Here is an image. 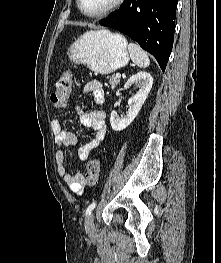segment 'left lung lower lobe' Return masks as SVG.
Masks as SVG:
<instances>
[{
    "mask_svg": "<svg viewBox=\"0 0 221 263\" xmlns=\"http://www.w3.org/2000/svg\"><path fill=\"white\" fill-rule=\"evenodd\" d=\"M178 0H124L99 24L116 29L150 52L164 71L172 51Z\"/></svg>",
    "mask_w": 221,
    "mask_h": 263,
    "instance_id": "0a47b994",
    "label": "left lung lower lobe"
}]
</instances>
